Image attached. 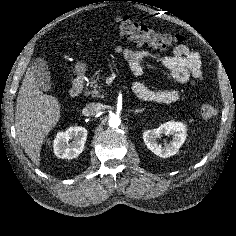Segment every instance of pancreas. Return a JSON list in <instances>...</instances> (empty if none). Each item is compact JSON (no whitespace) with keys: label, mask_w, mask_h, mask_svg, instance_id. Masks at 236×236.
Returning <instances> with one entry per match:
<instances>
[{"label":"pancreas","mask_w":236,"mask_h":236,"mask_svg":"<svg viewBox=\"0 0 236 236\" xmlns=\"http://www.w3.org/2000/svg\"><path fill=\"white\" fill-rule=\"evenodd\" d=\"M104 77L101 75V71H96L95 74L91 77L90 87L91 90L87 91V95H91L94 98H103L104 95L102 92V84H99Z\"/></svg>","instance_id":"cf45deb5"}]
</instances>
